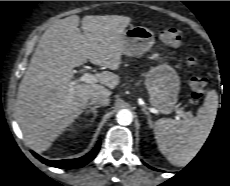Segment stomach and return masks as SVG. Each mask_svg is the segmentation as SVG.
<instances>
[{"label": "stomach", "instance_id": "0dacf381", "mask_svg": "<svg viewBox=\"0 0 230 186\" xmlns=\"http://www.w3.org/2000/svg\"><path fill=\"white\" fill-rule=\"evenodd\" d=\"M154 42L151 30L143 26H130L124 32L123 54L130 57L142 55L150 50ZM150 58L159 61L145 74L150 103L160 113L169 114L177 105L180 77L159 54H153Z\"/></svg>", "mask_w": 230, "mask_h": 186}]
</instances>
